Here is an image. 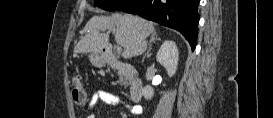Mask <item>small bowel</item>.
I'll return each mask as SVG.
<instances>
[{"instance_id": "c3829d8e", "label": "small bowel", "mask_w": 273, "mask_h": 118, "mask_svg": "<svg viewBox=\"0 0 273 118\" xmlns=\"http://www.w3.org/2000/svg\"><path fill=\"white\" fill-rule=\"evenodd\" d=\"M99 103H104L107 105H121L123 101L120 97H118L117 95L109 91L99 90L95 92L94 95L88 101L87 112L91 114V112L95 109V107ZM129 111L133 115H140L142 112V109L140 106H129ZM89 118H93V117L90 116Z\"/></svg>"}]
</instances>
